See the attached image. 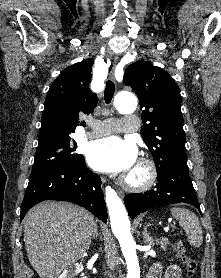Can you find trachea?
<instances>
[{"mask_svg": "<svg viewBox=\"0 0 221 278\" xmlns=\"http://www.w3.org/2000/svg\"><path fill=\"white\" fill-rule=\"evenodd\" d=\"M114 92H115V85L112 81L108 80L106 82V88L104 92V100L106 104H109L111 102Z\"/></svg>", "mask_w": 221, "mask_h": 278, "instance_id": "obj_1", "label": "trachea"}]
</instances>
